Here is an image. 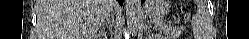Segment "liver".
Returning <instances> with one entry per match:
<instances>
[{
	"label": "liver",
	"instance_id": "obj_1",
	"mask_svg": "<svg viewBox=\"0 0 249 39\" xmlns=\"http://www.w3.org/2000/svg\"><path fill=\"white\" fill-rule=\"evenodd\" d=\"M115 0H38L37 31L40 39H95Z\"/></svg>",
	"mask_w": 249,
	"mask_h": 39
}]
</instances>
